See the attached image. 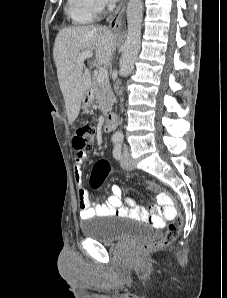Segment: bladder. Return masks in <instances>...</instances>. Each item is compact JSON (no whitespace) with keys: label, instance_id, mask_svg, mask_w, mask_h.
<instances>
[{"label":"bladder","instance_id":"obj_1","mask_svg":"<svg viewBox=\"0 0 227 298\" xmlns=\"http://www.w3.org/2000/svg\"><path fill=\"white\" fill-rule=\"evenodd\" d=\"M82 234L102 244H114L124 240L147 238L153 234L148 224L128 218L114 220H88L80 225Z\"/></svg>","mask_w":227,"mask_h":298}]
</instances>
